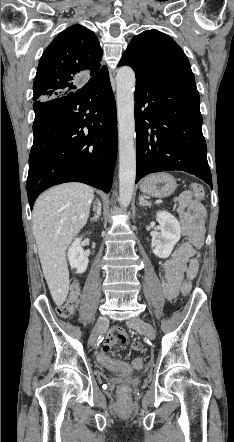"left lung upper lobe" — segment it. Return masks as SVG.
<instances>
[{"label":"left lung upper lobe","mask_w":234,"mask_h":442,"mask_svg":"<svg viewBox=\"0 0 234 442\" xmlns=\"http://www.w3.org/2000/svg\"><path fill=\"white\" fill-rule=\"evenodd\" d=\"M131 66L136 78L194 80L189 61L183 50L166 34L147 30L129 43L119 66Z\"/></svg>","instance_id":"obj_1"}]
</instances>
